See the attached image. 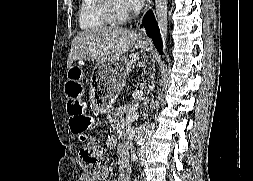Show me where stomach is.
<instances>
[{"mask_svg":"<svg viewBox=\"0 0 253 181\" xmlns=\"http://www.w3.org/2000/svg\"><path fill=\"white\" fill-rule=\"evenodd\" d=\"M139 45L146 51L149 49L148 45L142 42H139ZM131 67L132 62L126 56L116 61L96 64L91 78L94 114H103L112 107L125 84Z\"/></svg>","mask_w":253,"mask_h":181,"instance_id":"0dacf381","label":"stomach"}]
</instances>
